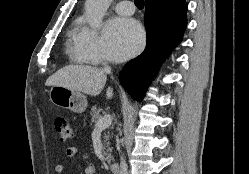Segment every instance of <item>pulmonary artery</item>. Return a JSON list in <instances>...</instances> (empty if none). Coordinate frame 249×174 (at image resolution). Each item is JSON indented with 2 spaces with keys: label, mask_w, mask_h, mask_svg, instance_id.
Listing matches in <instances>:
<instances>
[{
  "label": "pulmonary artery",
  "mask_w": 249,
  "mask_h": 174,
  "mask_svg": "<svg viewBox=\"0 0 249 174\" xmlns=\"http://www.w3.org/2000/svg\"><path fill=\"white\" fill-rule=\"evenodd\" d=\"M115 10L118 14L132 15L135 10V6L131 1H121L116 4Z\"/></svg>",
  "instance_id": "obj_1"
}]
</instances>
